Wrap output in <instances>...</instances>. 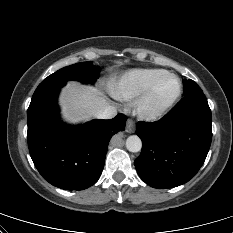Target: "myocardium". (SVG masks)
Segmentation results:
<instances>
[{
	"mask_svg": "<svg viewBox=\"0 0 233 233\" xmlns=\"http://www.w3.org/2000/svg\"><path fill=\"white\" fill-rule=\"evenodd\" d=\"M165 77H172L175 79L177 84V89L174 95L167 100L165 103L159 107H151L150 102L153 93L160 83V81ZM182 95V82L180 78L171 72L165 71L156 77L151 84L137 97L134 104L136 114L143 120L154 121L163 117L170 109L176 104Z\"/></svg>",
	"mask_w": 233,
	"mask_h": 233,
	"instance_id": "myocardium-1",
	"label": "myocardium"
}]
</instances>
